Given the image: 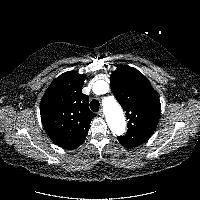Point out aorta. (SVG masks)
<instances>
[{"mask_svg": "<svg viewBox=\"0 0 200 200\" xmlns=\"http://www.w3.org/2000/svg\"><path fill=\"white\" fill-rule=\"evenodd\" d=\"M97 84L94 85L96 90ZM103 109L106 115L107 123L110 129L118 135L125 132V117L120 105L116 102L115 98L109 96L102 101Z\"/></svg>", "mask_w": 200, "mask_h": 200, "instance_id": "1", "label": "aorta"}]
</instances>
